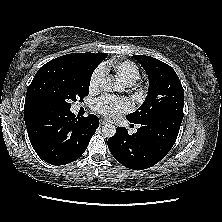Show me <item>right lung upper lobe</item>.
<instances>
[{"label": "right lung upper lobe", "mask_w": 222, "mask_h": 222, "mask_svg": "<svg viewBox=\"0 0 222 222\" xmlns=\"http://www.w3.org/2000/svg\"><path fill=\"white\" fill-rule=\"evenodd\" d=\"M108 54H94V53H73V54H68L61 56L59 58H67V59H93L96 60L99 64L102 62L104 58L107 57ZM98 64V65H99ZM41 72V69L38 70L36 73L33 81L39 76ZM43 112L31 101V98L27 92L26 94V100H25V105H24V119L25 122L30 120L33 117H36Z\"/></svg>", "instance_id": "1"}]
</instances>
